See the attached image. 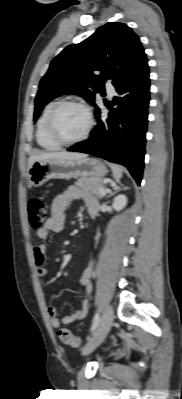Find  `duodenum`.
I'll list each match as a JSON object with an SVG mask.
<instances>
[{"mask_svg":"<svg viewBox=\"0 0 182 399\" xmlns=\"http://www.w3.org/2000/svg\"><path fill=\"white\" fill-rule=\"evenodd\" d=\"M89 215H90L92 218H95L96 215H97V211H96L95 209H90V210H89Z\"/></svg>","mask_w":182,"mask_h":399,"instance_id":"1","label":"duodenum"}]
</instances>
